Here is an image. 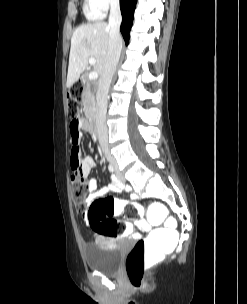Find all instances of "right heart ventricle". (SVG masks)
I'll use <instances>...</instances> for the list:
<instances>
[{
  "instance_id": "e07e8e85",
  "label": "right heart ventricle",
  "mask_w": 247,
  "mask_h": 304,
  "mask_svg": "<svg viewBox=\"0 0 247 304\" xmlns=\"http://www.w3.org/2000/svg\"><path fill=\"white\" fill-rule=\"evenodd\" d=\"M83 10L88 20L95 21L103 17V13L96 7L93 0H85Z\"/></svg>"
}]
</instances>
